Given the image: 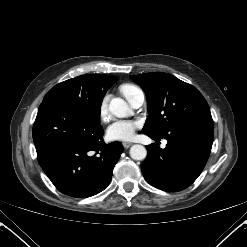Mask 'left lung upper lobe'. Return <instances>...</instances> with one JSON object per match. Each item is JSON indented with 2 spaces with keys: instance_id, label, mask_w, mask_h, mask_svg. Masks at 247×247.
<instances>
[{
  "instance_id": "1",
  "label": "left lung upper lobe",
  "mask_w": 247,
  "mask_h": 247,
  "mask_svg": "<svg viewBox=\"0 0 247 247\" xmlns=\"http://www.w3.org/2000/svg\"><path fill=\"white\" fill-rule=\"evenodd\" d=\"M147 97L150 111L142 132L163 137L176 127L199 119H212L203 95L192 85L167 73L131 75Z\"/></svg>"
}]
</instances>
